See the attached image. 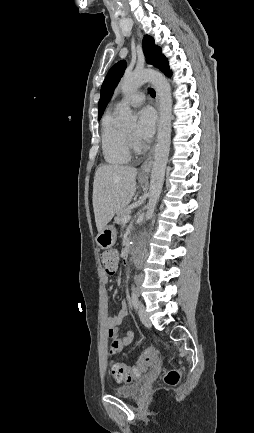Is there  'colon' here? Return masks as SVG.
I'll return each instance as SVG.
<instances>
[{"label": "colon", "instance_id": "colon-1", "mask_svg": "<svg viewBox=\"0 0 254 433\" xmlns=\"http://www.w3.org/2000/svg\"><path fill=\"white\" fill-rule=\"evenodd\" d=\"M101 262L107 274L113 275L117 270L118 254L115 250H106L101 254ZM116 348L110 346L109 354L114 355ZM155 355L145 351L141 354L135 366L128 367L119 363H111V372L117 382H131L137 379L154 362ZM178 370H170L165 376V381L169 385H176L180 380Z\"/></svg>", "mask_w": 254, "mask_h": 433}]
</instances>
